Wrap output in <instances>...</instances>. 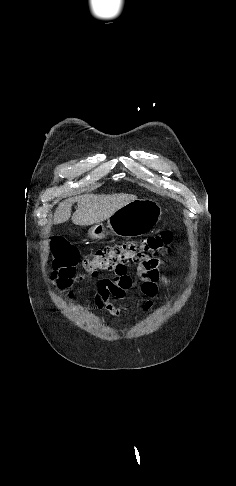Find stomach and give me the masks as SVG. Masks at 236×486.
Wrapping results in <instances>:
<instances>
[{"instance_id":"1","label":"stomach","mask_w":236,"mask_h":486,"mask_svg":"<svg viewBox=\"0 0 236 486\" xmlns=\"http://www.w3.org/2000/svg\"><path fill=\"white\" fill-rule=\"evenodd\" d=\"M162 217L161 205L152 199H136L118 209L107 219V228L122 237L142 236L152 231ZM106 228L98 223L88 234L93 239L105 237Z\"/></svg>"}]
</instances>
